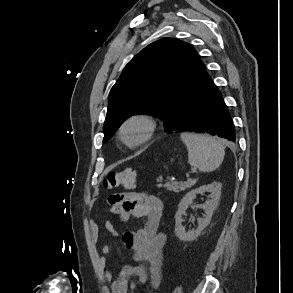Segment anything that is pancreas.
Here are the masks:
<instances>
[{
    "label": "pancreas",
    "mask_w": 293,
    "mask_h": 293,
    "mask_svg": "<svg viewBox=\"0 0 293 293\" xmlns=\"http://www.w3.org/2000/svg\"><path fill=\"white\" fill-rule=\"evenodd\" d=\"M194 182H184V183H179V182H166L164 184V187L166 188L167 191H172L173 193H179L181 191H185L186 189L190 188ZM159 187L162 186V184L158 185Z\"/></svg>",
    "instance_id": "pancreas-1"
}]
</instances>
